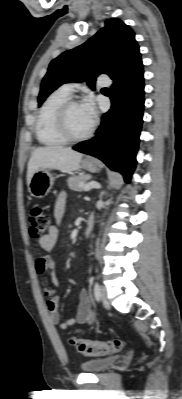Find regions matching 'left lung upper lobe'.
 Listing matches in <instances>:
<instances>
[{"label": "left lung upper lobe", "mask_w": 182, "mask_h": 399, "mask_svg": "<svg viewBox=\"0 0 182 399\" xmlns=\"http://www.w3.org/2000/svg\"><path fill=\"white\" fill-rule=\"evenodd\" d=\"M142 63L135 33L119 19H109L105 27L84 44L54 59L42 80L38 105L67 82H83L94 89L96 77L105 73L113 81L128 75Z\"/></svg>", "instance_id": "obj_1"}]
</instances>
